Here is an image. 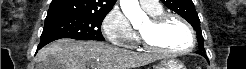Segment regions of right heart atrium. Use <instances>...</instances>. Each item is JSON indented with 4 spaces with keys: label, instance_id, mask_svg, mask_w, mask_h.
<instances>
[{
    "label": "right heart atrium",
    "instance_id": "right-heart-atrium-1",
    "mask_svg": "<svg viewBox=\"0 0 246 69\" xmlns=\"http://www.w3.org/2000/svg\"><path fill=\"white\" fill-rule=\"evenodd\" d=\"M103 31L106 38L113 44L129 46L135 41L131 25L120 10H112L103 21Z\"/></svg>",
    "mask_w": 246,
    "mask_h": 69
}]
</instances>
